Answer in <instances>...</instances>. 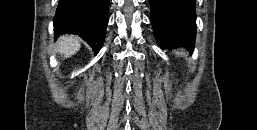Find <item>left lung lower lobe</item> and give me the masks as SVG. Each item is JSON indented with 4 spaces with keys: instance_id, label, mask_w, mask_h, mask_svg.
Listing matches in <instances>:
<instances>
[{
    "instance_id": "left-lung-lower-lobe-1",
    "label": "left lung lower lobe",
    "mask_w": 257,
    "mask_h": 130,
    "mask_svg": "<svg viewBox=\"0 0 257 130\" xmlns=\"http://www.w3.org/2000/svg\"><path fill=\"white\" fill-rule=\"evenodd\" d=\"M154 36L163 48L194 49L196 36L195 0H149Z\"/></svg>"
}]
</instances>
